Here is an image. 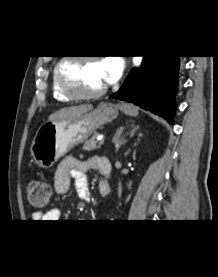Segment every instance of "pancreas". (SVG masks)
Listing matches in <instances>:
<instances>
[{"mask_svg": "<svg viewBox=\"0 0 218 277\" xmlns=\"http://www.w3.org/2000/svg\"><path fill=\"white\" fill-rule=\"evenodd\" d=\"M96 137H97V135H94L89 140H87L83 146V149L86 151H93V150L98 149L99 146H97Z\"/></svg>", "mask_w": 218, "mask_h": 277, "instance_id": "obj_1", "label": "pancreas"}]
</instances>
